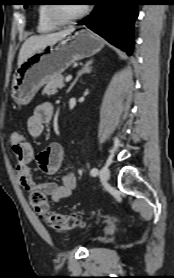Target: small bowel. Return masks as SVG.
I'll return each mask as SVG.
<instances>
[{
  "label": "small bowel",
  "mask_w": 174,
  "mask_h": 278,
  "mask_svg": "<svg viewBox=\"0 0 174 278\" xmlns=\"http://www.w3.org/2000/svg\"><path fill=\"white\" fill-rule=\"evenodd\" d=\"M52 117L53 106L47 102L39 104L27 120L28 133L32 137L40 136L44 126L52 120ZM12 151L17 162L15 168L16 179L25 191L29 193L40 191L50 196L54 202H59L73 194L77 186V177L74 168L71 166L65 168L61 185L56 182L38 183L32 177L30 165L34 161L47 174H54L63 167L65 154L59 143L49 144L37 156H35L33 146L27 140L18 145L12 144Z\"/></svg>",
  "instance_id": "1"
}]
</instances>
